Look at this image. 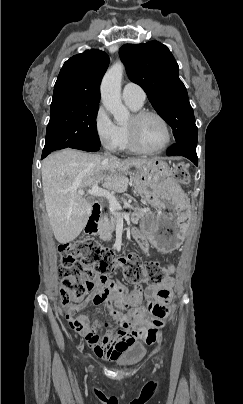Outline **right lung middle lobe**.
Masks as SVG:
<instances>
[{"mask_svg":"<svg viewBox=\"0 0 243 404\" xmlns=\"http://www.w3.org/2000/svg\"><path fill=\"white\" fill-rule=\"evenodd\" d=\"M99 104H62L51 107L42 158L75 144L100 146L96 129Z\"/></svg>","mask_w":243,"mask_h":404,"instance_id":"right-lung-middle-lobe-1","label":"right lung middle lobe"}]
</instances>
